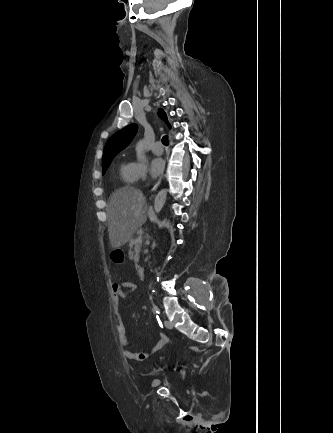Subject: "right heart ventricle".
Here are the masks:
<instances>
[{"label": "right heart ventricle", "mask_w": 333, "mask_h": 433, "mask_svg": "<svg viewBox=\"0 0 333 433\" xmlns=\"http://www.w3.org/2000/svg\"><path fill=\"white\" fill-rule=\"evenodd\" d=\"M118 168L120 180L123 184L131 185L135 182L136 179L133 174L131 163L121 162Z\"/></svg>", "instance_id": "right-heart-ventricle-1"}]
</instances>
